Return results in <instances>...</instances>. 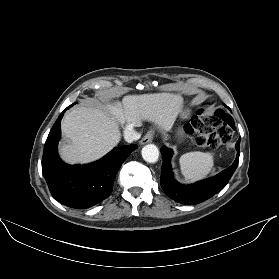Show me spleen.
I'll use <instances>...</instances> for the list:
<instances>
[{
    "instance_id": "1",
    "label": "spleen",
    "mask_w": 279,
    "mask_h": 279,
    "mask_svg": "<svg viewBox=\"0 0 279 279\" xmlns=\"http://www.w3.org/2000/svg\"><path fill=\"white\" fill-rule=\"evenodd\" d=\"M179 162L185 179L196 181L205 178L212 171L214 156L212 153L188 152L180 157Z\"/></svg>"
}]
</instances>
